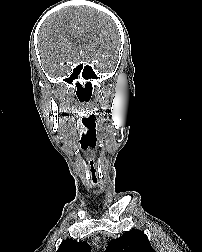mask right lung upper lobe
<instances>
[{
  "label": "right lung upper lobe",
  "mask_w": 202,
  "mask_h": 252,
  "mask_svg": "<svg viewBox=\"0 0 202 252\" xmlns=\"http://www.w3.org/2000/svg\"><path fill=\"white\" fill-rule=\"evenodd\" d=\"M57 252H91V248L87 242L66 239L61 243Z\"/></svg>",
  "instance_id": "obj_1"
}]
</instances>
